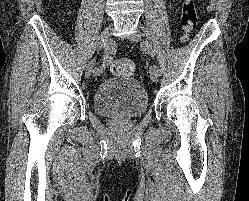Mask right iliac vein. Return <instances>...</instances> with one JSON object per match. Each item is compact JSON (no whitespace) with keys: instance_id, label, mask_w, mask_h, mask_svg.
<instances>
[{"instance_id":"1","label":"right iliac vein","mask_w":249,"mask_h":201,"mask_svg":"<svg viewBox=\"0 0 249 201\" xmlns=\"http://www.w3.org/2000/svg\"><path fill=\"white\" fill-rule=\"evenodd\" d=\"M109 33H110V29L109 27H106L101 35H100V39H99V48H105L106 46H108L109 44ZM94 66H95V62L94 60L90 61L89 64L86 66L85 69V77L89 78L94 70Z\"/></svg>"}]
</instances>
